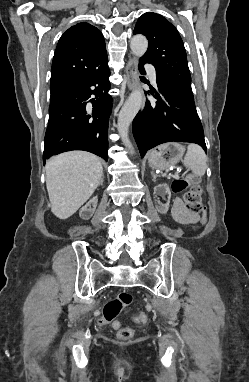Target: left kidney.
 Here are the masks:
<instances>
[{"label":"left kidney","instance_id":"5707ae66","mask_svg":"<svg viewBox=\"0 0 249 382\" xmlns=\"http://www.w3.org/2000/svg\"><path fill=\"white\" fill-rule=\"evenodd\" d=\"M155 193H157V196L152 197L153 203H162L161 207H157V209L161 210L162 212H166L169 207L171 192L169 189V186L167 184H159L154 188Z\"/></svg>","mask_w":249,"mask_h":382}]
</instances>
